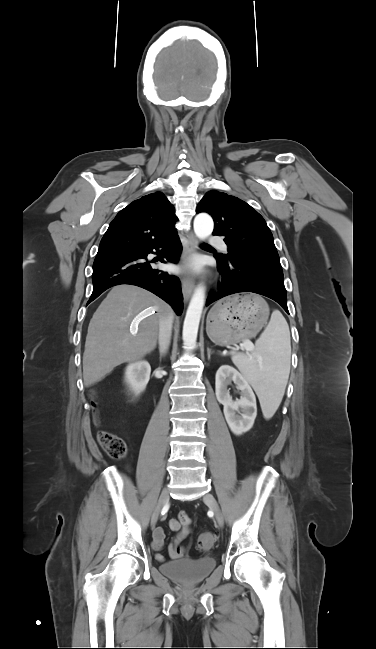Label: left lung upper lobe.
Segmentation results:
<instances>
[{"mask_svg":"<svg viewBox=\"0 0 376 649\" xmlns=\"http://www.w3.org/2000/svg\"><path fill=\"white\" fill-rule=\"evenodd\" d=\"M196 212H207L214 220L213 235L224 236L225 261L251 260L282 271L273 235L263 217L246 202L219 191H209L200 201Z\"/></svg>","mask_w":376,"mask_h":649,"instance_id":"obj_1","label":"left lung upper lobe"}]
</instances>
